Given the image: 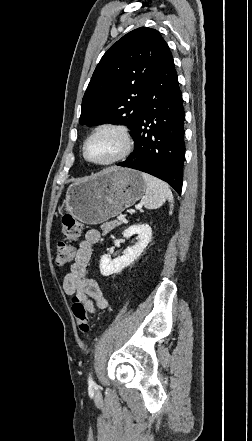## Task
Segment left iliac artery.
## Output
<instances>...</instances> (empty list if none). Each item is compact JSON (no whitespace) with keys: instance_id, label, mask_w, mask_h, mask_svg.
<instances>
[{"instance_id":"obj_1","label":"left iliac artery","mask_w":252,"mask_h":441,"mask_svg":"<svg viewBox=\"0 0 252 441\" xmlns=\"http://www.w3.org/2000/svg\"><path fill=\"white\" fill-rule=\"evenodd\" d=\"M88 382H89V384H93V383H94V381H93V379H92V377H91V374H90V376H89Z\"/></svg>"}]
</instances>
